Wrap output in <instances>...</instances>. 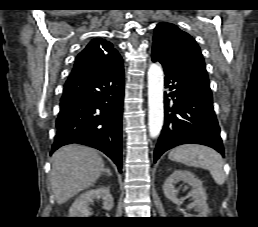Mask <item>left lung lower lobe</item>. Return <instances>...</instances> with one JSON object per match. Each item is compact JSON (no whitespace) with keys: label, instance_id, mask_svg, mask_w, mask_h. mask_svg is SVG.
<instances>
[{"label":"left lung lower lobe","instance_id":"left-lung-lower-lobe-1","mask_svg":"<svg viewBox=\"0 0 258 227\" xmlns=\"http://www.w3.org/2000/svg\"><path fill=\"white\" fill-rule=\"evenodd\" d=\"M152 61L162 64L165 86L172 91L164 94L165 121L154 162L165 151L186 143L212 147L224 156L209 80L170 65L155 54Z\"/></svg>","mask_w":258,"mask_h":227}]
</instances>
